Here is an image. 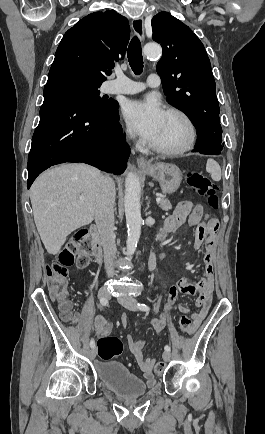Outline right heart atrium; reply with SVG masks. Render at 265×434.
Segmentation results:
<instances>
[{"mask_svg":"<svg viewBox=\"0 0 265 434\" xmlns=\"http://www.w3.org/2000/svg\"><path fill=\"white\" fill-rule=\"evenodd\" d=\"M124 139L120 142V145L122 147H128L130 145L129 141H137L138 140V133L137 132H127L124 134Z\"/></svg>","mask_w":265,"mask_h":434,"instance_id":"d8ad5b80","label":"right heart atrium"}]
</instances>
